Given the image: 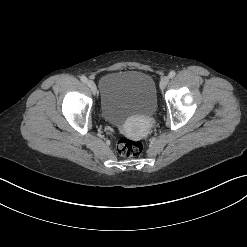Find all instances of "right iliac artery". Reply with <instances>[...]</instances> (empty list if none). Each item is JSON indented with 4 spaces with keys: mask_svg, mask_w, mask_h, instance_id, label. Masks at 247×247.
I'll list each match as a JSON object with an SVG mask.
<instances>
[{
    "mask_svg": "<svg viewBox=\"0 0 247 247\" xmlns=\"http://www.w3.org/2000/svg\"><path fill=\"white\" fill-rule=\"evenodd\" d=\"M80 79H81V81H83L84 83L87 82V78H86L85 76H81Z\"/></svg>",
    "mask_w": 247,
    "mask_h": 247,
    "instance_id": "right-iliac-artery-1",
    "label": "right iliac artery"
}]
</instances>
